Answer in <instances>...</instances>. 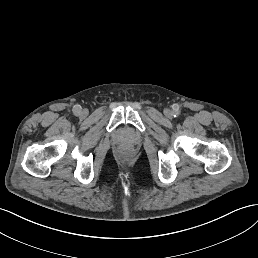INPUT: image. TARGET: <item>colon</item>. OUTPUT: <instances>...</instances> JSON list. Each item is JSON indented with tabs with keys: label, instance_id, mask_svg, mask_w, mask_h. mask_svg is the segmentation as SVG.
Returning a JSON list of instances; mask_svg holds the SVG:
<instances>
[{
	"label": "colon",
	"instance_id": "obj_1",
	"mask_svg": "<svg viewBox=\"0 0 258 258\" xmlns=\"http://www.w3.org/2000/svg\"><path fill=\"white\" fill-rule=\"evenodd\" d=\"M122 153L125 154V155H127V154L129 153V150L124 149V150H122Z\"/></svg>",
	"mask_w": 258,
	"mask_h": 258
}]
</instances>
